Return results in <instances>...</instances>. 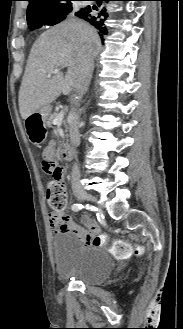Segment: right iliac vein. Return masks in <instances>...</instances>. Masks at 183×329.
Listing matches in <instances>:
<instances>
[{
  "label": "right iliac vein",
  "mask_w": 183,
  "mask_h": 329,
  "mask_svg": "<svg viewBox=\"0 0 183 329\" xmlns=\"http://www.w3.org/2000/svg\"><path fill=\"white\" fill-rule=\"evenodd\" d=\"M76 196H77V198L82 199V200H87V201H91V202L97 201L96 197H94L92 194H89L85 190H78L76 192Z\"/></svg>",
  "instance_id": "right-iliac-vein-1"
}]
</instances>
